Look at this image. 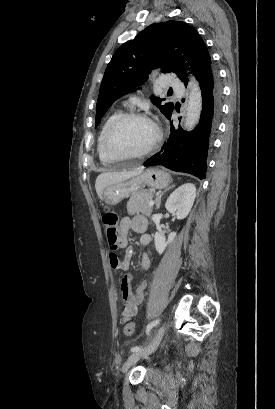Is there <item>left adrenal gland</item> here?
<instances>
[{
	"label": "left adrenal gland",
	"instance_id": "a2214340",
	"mask_svg": "<svg viewBox=\"0 0 275 409\" xmlns=\"http://www.w3.org/2000/svg\"><path fill=\"white\" fill-rule=\"evenodd\" d=\"M169 188H172V186H169ZM169 188H165V190H163V192H161V194H159V196H157V198H155L156 209H159V207L161 205V196H162V194H164V192H166V190H169Z\"/></svg>",
	"mask_w": 275,
	"mask_h": 409
}]
</instances>
